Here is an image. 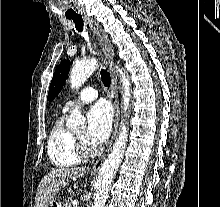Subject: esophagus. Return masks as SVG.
I'll return each mask as SVG.
<instances>
[{
    "mask_svg": "<svg viewBox=\"0 0 220 207\" xmlns=\"http://www.w3.org/2000/svg\"><path fill=\"white\" fill-rule=\"evenodd\" d=\"M86 21L88 22L91 30L93 31L94 35L97 37L99 45L105 55L107 63L109 65V71L111 75V91H110V100L113 104L114 111H115V120L113 126V133L111 136V140L109 145L105 151V153L93 164L91 168V173H96L102 166L107 154L109 153L112 144L116 138L118 127H119V120H120V109H119V102L117 97V76L116 72L113 67V58H114V49L113 45L111 44L108 36L101 30L98 23L93 20L91 17L85 16Z\"/></svg>",
    "mask_w": 220,
    "mask_h": 207,
    "instance_id": "34e87169",
    "label": "esophagus"
}]
</instances>
